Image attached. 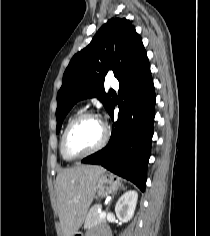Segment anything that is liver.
I'll list each match as a JSON object with an SVG mask.
<instances>
[{
    "mask_svg": "<svg viewBox=\"0 0 210 236\" xmlns=\"http://www.w3.org/2000/svg\"><path fill=\"white\" fill-rule=\"evenodd\" d=\"M104 172L100 166L77 165L58 173L55 188L63 236H74L82 226Z\"/></svg>",
    "mask_w": 210,
    "mask_h": 236,
    "instance_id": "6515ba94",
    "label": "liver"
}]
</instances>
